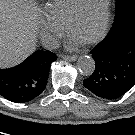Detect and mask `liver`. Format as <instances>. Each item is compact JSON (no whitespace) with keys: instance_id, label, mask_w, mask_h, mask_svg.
<instances>
[{"instance_id":"obj_1","label":"liver","mask_w":135,"mask_h":135,"mask_svg":"<svg viewBox=\"0 0 135 135\" xmlns=\"http://www.w3.org/2000/svg\"><path fill=\"white\" fill-rule=\"evenodd\" d=\"M37 10L33 0H0V68L17 65L34 51Z\"/></svg>"}]
</instances>
